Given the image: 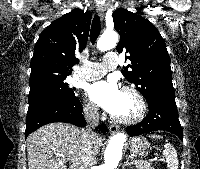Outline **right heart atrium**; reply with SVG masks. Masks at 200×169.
<instances>
[{"instance_id": "d8ad5b80", "label": "right heart atrium", "mask_w": 200, "mask_h": 169, "mask_svg": "<svg viewBox=\"0 0 200 169\" xmlns=\"http://www.w3.org/2000/svg\"><path fill=\"white\" fill-rule=\"evenodd\" d=\"M83 113L89 119H96L98 117V108L91 101H86L83 105Z\"/></svg>"}]
</instances>
